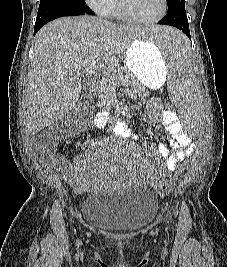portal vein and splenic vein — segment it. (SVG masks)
Returning a JSON list of instances; mask_svg holds the SVG:
<instances>
[{"instance_id": "1", "label": "portal vein and splenic vein", "mask_w": 227, "mask_h": 267, "mask_svg": "<svg viewBox=\"0 0 227 267\" xmlns=\"http://www.w3.org/2000/svg\"><path fill=\"white\" fill-rule=\"evenodd\" d=\"M96 70V62L93 61L91 62L85 69H84V73L87 76H91L94 75L95 77H99V74L95 71Z\"/></svg>"}]
</instances>
